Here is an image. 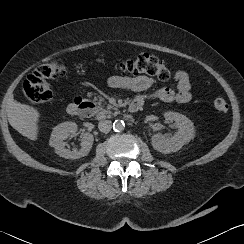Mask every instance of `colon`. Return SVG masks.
I'll use <instances>...</instances> for the list:
<instances>
[{
	"mask_svg": "<svg viewBox=\"0 0 244 244\" xmlns=\"http://www.w3.org/2000/svg\"><path fill=\"white\" fill-rule=\"evenodd\" d=\"M120 66L131 73H145L160 80H170L176 77L165 61L151 55L140 56L136 60L124 62ZM57 71L55 64H44L32 71L23 84L25 96L34 102L49 99L51 97L49 81L55 77ZM214 105L218 112H225L228 109V104L223 98H217Z\"/></svg>",
	"mask_w": 244,
	"mask_h": 244,
	"instance_id": "colon-1",
	"label": "colon"
}]
</instances>
